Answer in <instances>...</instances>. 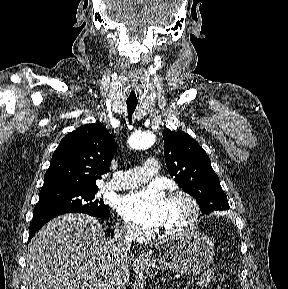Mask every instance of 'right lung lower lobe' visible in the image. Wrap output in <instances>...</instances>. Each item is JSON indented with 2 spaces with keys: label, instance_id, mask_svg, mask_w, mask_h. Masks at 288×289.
<instances>
[{
  "label": "right lung lower lobe",
  "instance_id": "obj_1",
  "mask_svg": "<svg viewBox=\"0 0 288 289\" xmlns=\"http://www.w3.org/2000/svg\"><path fill=\"white\" fill-rule=\"evenodd\" d=\"M66 212H42V213H36L33 215V220L30 225L29 229V239L28 242L31 240V238L34 236L36 231L40 229L45 223H47L52 218L64 214ZM109 216V210L105 213L100 214L97 217L101 218H107Z\"/></svg>",
  "mask_w": 288,
  "mask_h": 289
}]
</instances>
